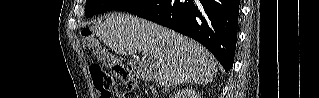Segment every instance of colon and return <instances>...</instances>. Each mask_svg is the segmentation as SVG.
<instances>
[{"label":"colon","instance_id":"1","mask_svg":"<svg viewBox=\"0 0 319 98\" xmlns=\"http://www.w3.org/2000/svg\"><path fill=\"white\" fill-rule=\"evenodd\" d=\"M82 44L87 50L95 52L96 56L110 67L112 74L122 80L129 89L136 87V78L122 63L114 60L107 51L100 48L98 41L89 29L82 31ZM90 73L93 84L101 98H135V94L131 91L118 95L116 93L114 78L104 72L100 67H91Z\"/></svg>","mask_w":319,"mask_h":98}]
</instances>
